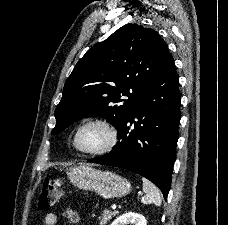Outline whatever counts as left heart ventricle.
Masks as SVG:
<instances>
[{
  "label": "left heart ventricle",
  "instance_id": "left-heart-ventricle-1",
  "mask_svg": "<svg viewBox=\"0 0 228 225\" xmlns=\"http://www.w3.org/2000/svg\"><path fill=\"white\" fill-rule=\"evenodd\" d=\"M106 133L97 126H90L80 132L77 144L81 148H100L106 143Z\"/></svg>",
  "mask_w": 228,
  "mask_h": 225
}]
</instances>
